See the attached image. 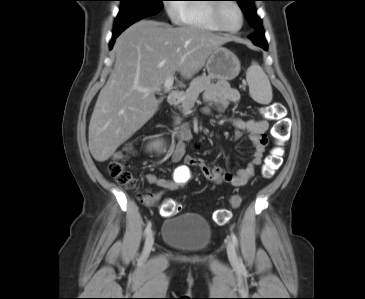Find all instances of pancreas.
<instances>
[{
    "label": "pancreas",
    "instance_id": "pancreas-1",
    "mask_svg": "<svg viewBox=\"0 0 365 299\" xmlns=\"http://www.w3.org/2000/svg\"><path fill=\"white\" fill-rule=\"evenodd\" d=\"M210 86L211 78L209 76L201 75L193 79L189 88L186 90L185 98L182 101L181 108L183 113L190 111L193 108L199 94L208 89ZM176 122L180 123V118H177Z\"/></svg>",
    "mask_w": 365,
    "mask_h": 299
}]
</instances>
